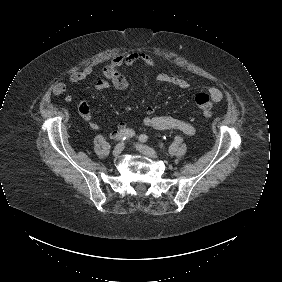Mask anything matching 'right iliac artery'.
I'll return each mask as SVG.
<instances>
[{
	"label": "right iliac artery",
	"mask_w": 282,
	"mask_h": 282,
	"mask_svg": "<svg viewBox=\"0 0 282 282\" xmlns=\"http://www.w3.org/2000/svg\"><path fill=\"white\" fill-rule=\"evenodd\" d=\"M134 135H135V132L132 129L128 128V129L120 132V134H118V136L116 137V140L124 141L126 139L133 137Z\"/></svg>",
	"instance_id": "right-iliac-artery-1"
}]
</instances>
